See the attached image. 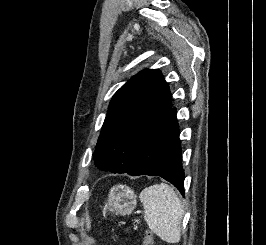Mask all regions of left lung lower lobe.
<instances>
[{
	"instance_id": "0a47b994",
	"label": "left lung lower lobe",
	"mask_w": 266,
	"mask_h": 245,
	"mask_svg": "<svg viewBox=\"0 0 266 245\" xmlns=\"http://www.w3.org/2000/svg\"><path fill=\"white\" fill-rule=\"evenodd\" d=\"M125 173L132 176H160L184 195V171L175 108L171 107L143 136L134 160Z\"/></svg>"
}]
</instances>
